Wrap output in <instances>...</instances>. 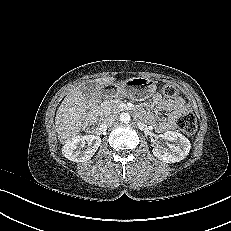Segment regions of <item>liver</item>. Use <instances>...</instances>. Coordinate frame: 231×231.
<instances>
[{
	"instance_id": "6515ba94",
	"label": "liver",
	"mask_w": 231,
	"mask_h": 231,
	"mask_svg": "<svg viewBox=\"0 0 231 231\" xmlns=\"http://www.w3.org/2000/svg\"><path fill=\"white\" fill-rule=\"evenodd\" d=\"M116 78L105 77L95 80L101 87L112 85ZM93 121L92 115L87 113V105L80 87H75L60 104L56 117L55 126L59 141L65 144L80 131L86 129Z\"/></svg>"
}]
</instances>
